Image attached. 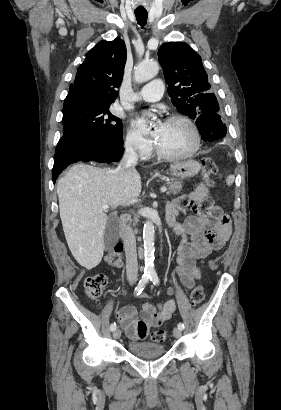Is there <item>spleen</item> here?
Segmentation results:
<instances>
[{"instance_id": "obj_1", "label": "spleen", "mask_w": 281, "mask_h": 410, "mask_svg": "<svg viewBox=\"0 0 281 410\" xmlns=\"http://www.w3.org/2000/svg\"><path fill=\"white\" fill-rule=\"evenodd\" d=\"M233 182H234V176L233 175L227 176V178H226L227 185L230 186V185L233 184Z\"/></svg>"}]
</instances>
